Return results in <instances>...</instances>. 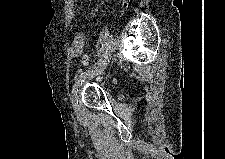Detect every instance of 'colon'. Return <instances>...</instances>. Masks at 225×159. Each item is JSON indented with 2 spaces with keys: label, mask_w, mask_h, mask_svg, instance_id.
I'll return each instance as SVG.
<instances>
[{
  "label": "colon",
  "mask_w": 225,
  "mask_h": 159,
  "mask_svg": "<svg viewBox=\"0 0 225 159\" xmlns=\"http://www.w3.org/2000/svg\"><path fill=\"white\" fill-rule=\"evenodd\" d=\"M127 1H128V0H126V1L124 2V5H125V6L127 5ZM82 63H83L84 66H90V65H91L92 59H91V56H90L88 53H86V54L83 55Z\"/></svg>",
  "instance_id": "1"
}]
</instances>
